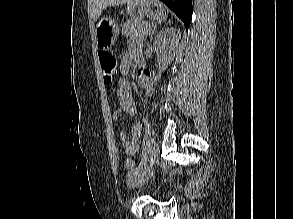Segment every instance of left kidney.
Returning <instances> with one entry per match:
<instances>
[{
  "mask_svg": "<svg viewBox=\"0 0 293 219\" xmlns=\"http://www.w3.org/2000/svg\"><path fill=\"white\" fill-rule=\"evenodd\" d=\"M180 38L181 32L176 28L162 29L155 37L153 48L160 70L164 71L173 60Z\"/></svg>",
  "mask_w": 293,
  "mask_h": 219,
  "instance_id": "left-kidney-1",
  "label": "left kidney"
}]
</instances>
